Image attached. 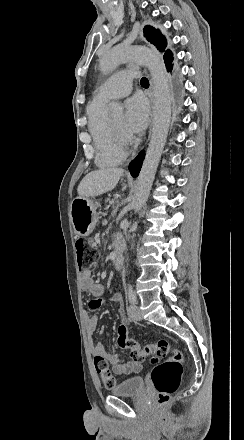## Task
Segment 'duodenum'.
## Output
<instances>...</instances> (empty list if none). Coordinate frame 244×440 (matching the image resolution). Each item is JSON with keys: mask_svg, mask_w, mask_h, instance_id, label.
I'll return each instance as SVG.
<instances>
[{"mask_svg": "<svg viewBox=\"0 0 244 440\" xmlns=\"http://www.w3.org/2000/svg\"><path fill=\"white\" fill-rule=\"evenodd\" d=\"M123 261H124V253L120 244H118L117 248L114 251V259H113V265L117 271H120L122 269Z\"/></svg>", "mask_w": 244, "mask_h": 440, "instance_id": "410a0bca", "label": "duodenum"}]
</instances>
